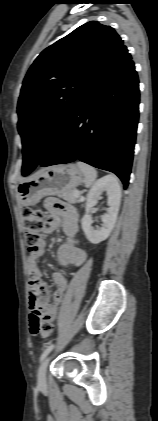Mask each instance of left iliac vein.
Listing matches in <instances>:
<instances>
[{
	"label": "left iliac vein",
	"mask_w": 158,
	"mask_h": 421,
	"mask_svg": "<svg viewBox=\"0 0 158 421\" xmlns=\"http://www.w3.org/2000/svg\"><path fill=\"white\" fill-rule=\"evenodd\" d=\"M49 361H50V358L47 357L43 360V362L39 366L37 379L40 386H44L46 384V371H47V366L49 364Z\"/></svg>",
	"instance_id": "1"
}]
</instances>
